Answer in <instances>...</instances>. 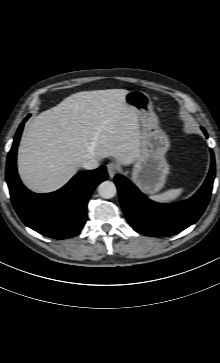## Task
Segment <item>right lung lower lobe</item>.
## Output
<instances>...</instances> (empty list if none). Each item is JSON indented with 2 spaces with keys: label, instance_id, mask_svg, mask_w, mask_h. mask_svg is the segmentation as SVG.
Returning a JSON list of instances; mask_svg holds the SVG:
<instances>
[{
  "label": "right lung lower lobe",
  "instance_id": "98d812e1",
  "mask_svg": "<svg viewBox=\"0 0 220 363\" xmlns=\"http://www.w3.org/2000/svg\"><path fill=\"white\" fill-rule=\"evenodd\" d=\"M28 117L20 124L7 158L6 180L12 203L21 220L31 229L50 238H71L83 228L87 202L95 187L107 179L106 168L81 172L52 193L29 191L21 183L16 169L17 147Z\"/></svg>",
  "mask_w": 220,
  "mask_h": 363
}]
</instances>
